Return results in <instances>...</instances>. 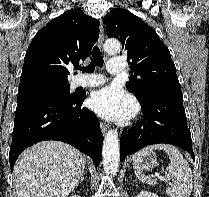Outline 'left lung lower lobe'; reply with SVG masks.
Instances as JSON below:
<instances>
[{"label":"left lung lower lobe","instance_id":"left-lung-lower-lobe-1","mask_svg":"<svg viewBox=\"0 0 209 197\" xmlns=\"http://www.w3.org/2000/svg\"><path fill=\"white\" fill-rule=\"evenodd\" d=\"M139 102L143 119L138 125L123 131L120 138V160L147 145L158 143L178 146L188 151L195 160L183 95L162 93Z\"/></svg>","mask_w":209,"mask_h":197}]
</instances>
